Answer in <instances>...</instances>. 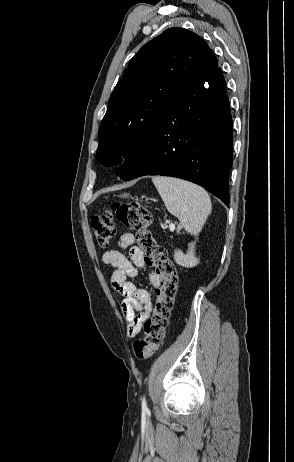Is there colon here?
Wrapping results in <instances>:
<instances>
[{"label":"colon","instance_id":"obj_1","mask_svg":"<svg viewBox=\"0 0 294 462\" xmlns=\"http://www.w3.org/2000/svg\"><path fill=\"white\" fill-rule=\"evenodd\" d=\"M115 219L136 233L143 262L153 269L159 280L153 312L144 322V337L133 344L136 357L145 360L152 357L163 343L177 293V272L167 251L150 231L151 213L140 203H115L110 210L92 217L91 227L99 246L109 245L115 234Z\"/></svg>","mask_w":294,"mask_h":462}]
</instances>
